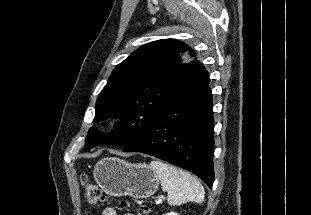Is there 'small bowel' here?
<instances>
[{"mask_svg":"<svg viewBox=\"0 0 311 215\" xmlns=\"http://www.w3.org/2000/svg\"><path fill=\"white\" fill-rule=\"evenodd\" d=\"M101 215H117V212L114 208L108 207L102 211ZM124 215H133V214H124Z\"/></svg>","mask_w":311,"mask_h":215,"instance_id":"1","label":"small bowel"}]
</instances>
